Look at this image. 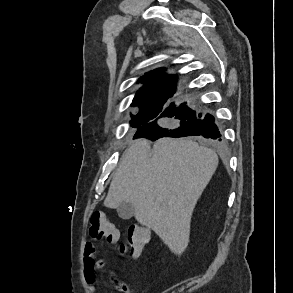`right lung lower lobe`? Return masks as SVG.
Instances as JSON below:
<instances>
[{"instance_id":"obj_1","label":"right lung lower lobe","mask_w":293,"mask_h":293,"mask_svg":"<svg viewBox=\"0 0 293 293\" xmlns=\"http://www.w3.org/2000/svg\"><path fill=\"white\" fill-rule=\"evenodd\" d=\"M159 118H161L160 124L168 121L173 122L171 126L173 129L161 127L157 124V120H154L139 127L134 138L145 137L154 141L161 137L202 136L221 140V134L215 124L214 117L210 114L204 115L196 112L186 102L171 103L170 107L162 112Z\"/></svg>"}]
</instances>
